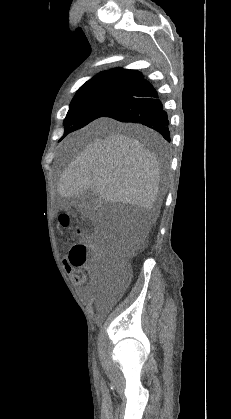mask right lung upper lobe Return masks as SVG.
Here are the masks:
<instances>
[{"label":"right lung upper lobe","mask_w":231,"mask_h":419,"mask_svg":"<svg viewBox=\"0 0 231 419\" xmlns=\"http://www.w3.org/2000/svg\"><path fill=\"white\" fill-rule=\"evenodd\" d=\"M142 79L143 76L139 71L118 68L109 72H101L83 84L79 90L112 85L135 87Z\"/></svg>","instance_id":"obj_1"}]
</instances>
